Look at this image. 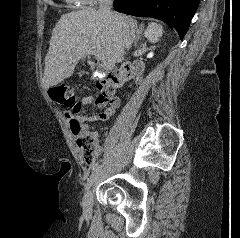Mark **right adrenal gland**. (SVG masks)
<instances>
[{
    "label": "right adrenal gland",
    "mask_w": 240,
    "mask_h": 238,
    "mask_svg": "<svg viewBox=\"0 0 240 238\" xmlns=\"http://www.w3.org/2000/svg\"><path fill=\"white\" fill-rule=\"evenodd\" d=\"M142 29H143V25H140V27L136 30L137 36L135 38V45H137V43L142 35Z\"/></svg>",
    "instance_id": "obj_1"
}]
</instances>
